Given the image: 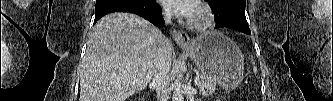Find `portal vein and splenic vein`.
<instances>
[{
  "instance_id": "obj_1",
  "label": "portal vein and splenic vein",
  "mask_w": 333,
  "mask_h": 101,
  "mask_svg": "<svg viewBox=\"0 0 333 101\" xmlns=\"http://www.w3.org/2000/svg\"><path fill=\"white\" fill-rule=\"evenodd\" d=\"M199 83H200V77L197 76L196 79H195V85L199 86Z\"/></svg>"
}]
</instances>
